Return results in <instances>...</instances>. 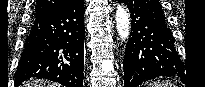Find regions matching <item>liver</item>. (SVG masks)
Here are the masks:
<instances>
[{
  "label": "liver",
  "instance_id": "liver-1",
  "mask_svg": "<svg viewBox=\"0 0 205 87\" xmlns=\"http://www.w3.org/2000/svg\"><path fill=\"white\" fill-rule=\"evenodd\" d=\"M23 87H56L55 84H49L43 80H31L26 82Z\"/></svg>",
  "mask_w": 205,
  "mask_h": 87
}]
</instances>
